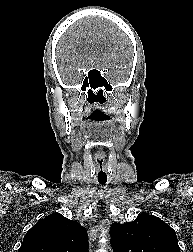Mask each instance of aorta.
<instances>
[{"label": "aorta", "mask_w": 193, "mask_h": 252, "mask_svg": "<svg viewBox=\"0 0 193 252\" xmlns=\"http://www.w3.org/2000/svg\"><path fill=\"white\" fill-rule=\"evenodd\" d=\"M96 252H107L105 248V242L102 243L101 247L98 250H96Z\"/></svg>", "instance_id": "obj_1"}]
</instances>
